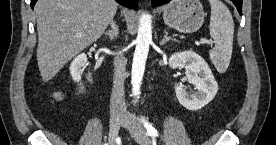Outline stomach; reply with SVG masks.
<instances>
[{
    "label": "stomach",
    "mask_w": 276,
    "mask_h": 145,
    "mask_svg": "<svg viewBox=\"0 0 276 145\" xmlns=\"http://www.w3.org/2000/svg\"><path fill=\"white\" fill-rule=\"evenodd\" d=\"M204 16L200 0H172L163 11L165 24L182 33L197 31L204 22Z\"/></svg>",
    "instance_id": "0dacf381"
}]
</instances>
